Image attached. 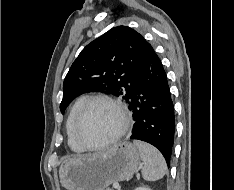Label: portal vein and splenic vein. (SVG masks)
<instances>
[{
    "label": "portal vein and splenic vein",
    "mask_w": 234,
    "mask_h": 190,
    "mask_svg": "<svg viewBox=\"0 0 234 190\" xmlns=\"http://www.w3.org/2000/svg\"><path fill=\"white\" fill-rule=\"evenodd\" d=\"M113 188H115V189H119V188H120V186H119V184H118V183H114V184H113Z\"/></svg>",
    "instance_id": "portal-vein-and-splenic-vein-1"
}]
</instances>
